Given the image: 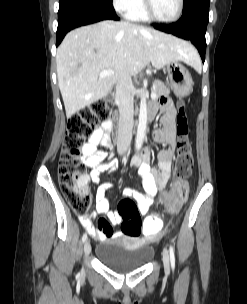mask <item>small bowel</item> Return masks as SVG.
Segmentation results:
<instances>
[{"label": "small bowel", "instance_id": "small-bowel-1", "mask_svg": "<svg viewBox=\"0 0 247 304\" xmlns=\"http://www.w3.org/2000/svg\"><path fill=\"white\" fill-rule=\"evenodd\" d=\"M150 109L155 113L158 110L162 111L161 123L162 128L155 132L154 138L157 143L167 144L166 150H161L158 153V167L150 166L151 153L149 150L144 151L140 155L133 157L131 163L138 170V174L142 180L144 192H139L133 188H125L123 195L132 197L138 203L139 212L142 215L148 213L154 198L158 191L164 189L171 177L172 161L176 148V131H175V116L176 109L167 98H161L158 103L152 104ZM113 123L111 120H106L102 125L96 128L87 142L82 146V162L91 169L89 176H86V181L94 183L99 182V176L103 171H113L117 168L115 160L104 161L107 153L98 148L103 146L110 148L112 146L110 132ZM112 183L106 182L101 184L96 191V208L97 213L105 215L107 219H100L98 226L95 227L92 223V218L95 214L81 217V223L91 236L98 240H106L110 237L119 238L123 236V232L113 233L111 225H116L121 222L118 213L110 209V201L106 196V192L112 188ZM187 196V195H186Z\"/></svg>", "mask_w": 247, "mask_h": 304}]
</instances>
